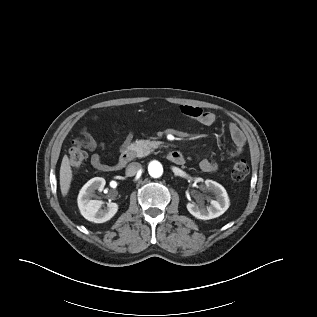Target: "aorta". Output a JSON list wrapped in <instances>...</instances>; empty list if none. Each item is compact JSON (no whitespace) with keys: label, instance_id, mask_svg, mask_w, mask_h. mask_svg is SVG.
Returning a JSON list of instances; mask_svg holds the SVG:
<instances>
[{"label":"aorta","instance_id":"1","mask_svg":"<svg viewBox=\"0 0 317 317\" xmlns=\"http://www.w3.org/2000/svg\"><path fill=\"white\" fill-rule=\"evenodd\" d=\"M148 171L152 177L158 178L163 174V167L158 161H152L148 166Z\"/></svg>","mask_w":317,"mask_h":317}]
</instances>
